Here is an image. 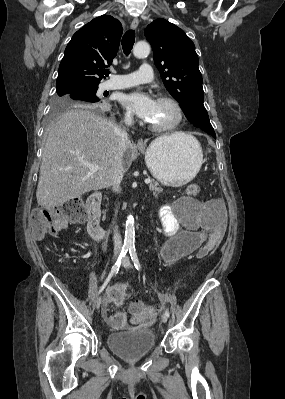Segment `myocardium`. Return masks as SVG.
<instances>
[{
  "label": "myocardium",
  "mask_w": 285,
  "mask_h": 399,
  "mask_svg": "<svg viewBox=\"0 0 285 399\" xmlns=\"http://www.w3.org/2000/svg\"><path fill=\"white\" fill-rule=\"evenodd\" d=\"M158 101H164V102L171 104L174 107L177 116H176L175 121H173L170 124L159 126V125H153L150 123L149 128L154 131H157V132H168V131L175 129L181 123V121L183 119V108H182L181 104L175 98H173L172 96H169V95H161L158 98Z\"/></svg>",
  "instance_id": "obj_1"
}]
</instances>
